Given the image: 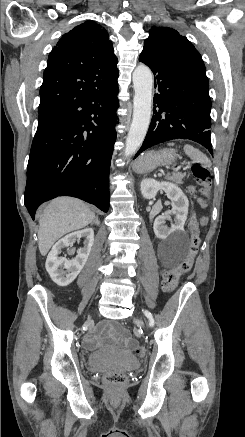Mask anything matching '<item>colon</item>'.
I'll return each mask as SVG.
<instances>
[{
    "label": "colon",
    "mask_w": 245,
    "mask_h": 437,
    "mask_svg": "<svg viewBox=\"0 0 245 437\" xmlns=\"http://www.w3.org/2000/svg\"><path fill=\"white\" fill-rule=\"evenodd\" d=\"M191 173L196 182L200 185V192L203 196H206L210 186V172L206 166L201 163L195 162L191 166ZM197 203L200 208L207 207V201L204 197H198ZM200 243V237L197 232H193L191 235V242L187 256L185 259L175 268L168 269L162 276V289L170 293L175 290L178 285L179 279L183 274L188 273L192 266L193 260L197 254L198 246ZM134 352L138 356H144L146 350L142 346H135ZM105 382L110 386H120L125 383L126 376L121 373L108 374L104 378Z\"/></svg>",
    "instance_id": "5ec220e1"
}]
</instances>
